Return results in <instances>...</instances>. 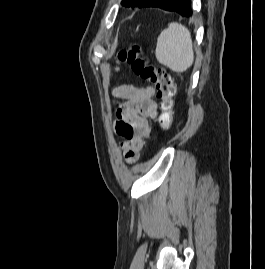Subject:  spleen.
Returning <instances> with one entry per match:
<instances>
[{
    "label": "spleen",
    "instance_id": "obj_1",
    "mask_svg": "<svg viewBox=\"0 0 265 269\" xmlns=\"http://www.w3.org/2000/svg\"><path fill=\"white\" fill-rule=\"evenodd\" d=\"M158 62L176 73L185 72L194 62L190 31L179 23H170L157 39Z\"/></svg>",
    "mask_w": 265,
    "mask_h": 269
}]
</instances>
